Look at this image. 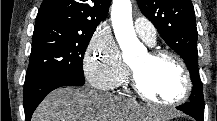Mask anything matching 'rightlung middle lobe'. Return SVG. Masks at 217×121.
<instances>
[{
    "label": "right lung middle lobe",
    "mask_w": 217,
    "mask_h": 121,
    "mask_svg": "<svg viewBox=\"0 0 217 121\" xmlns=\"http://www.w3.org/2000/svg\"><path fill=\"white\" fill-rule=\"evenodd\" d=\"M93 33L59 25L35 27L25 82L48 73H64L85 81L83 57Z\"/></svg>",
    "instance_id": "dd1d6c3e"
}]
</instances>
